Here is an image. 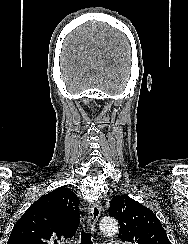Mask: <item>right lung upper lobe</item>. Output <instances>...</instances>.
Returning a JSON list of instances; mask_svg holds the SVG:
<instances>
[{"mask_svg":"<svg viewBox=\"0 0 188 244\" xmlns=\"http://www.w3.org/2000/svg\"><path fill=\"white\" fill-rule=\"evenodd\" d=\"M79 199L59 187L35 201L16 222L7 244H59L72 238L80 224Z\"/></svg>","mask_w":188,"mask_h":244,"instance_id":"obj_1","label":"right lung upper lobe"}]
</instances>
